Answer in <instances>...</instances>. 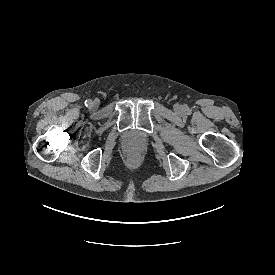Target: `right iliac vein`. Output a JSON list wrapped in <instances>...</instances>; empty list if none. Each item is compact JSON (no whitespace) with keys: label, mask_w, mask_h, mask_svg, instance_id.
<instances>
[{"label":"right iliac vein","mask_w":275,"mask_h":275,"mask_svg":"<svg viewBox=\"0 0 275 275\" xmlns=\"http://www.w3.org/2000/svg\"><path fill=\"white\" fill-rule=\"evenodd\" d=\"M93 106L95 107V106H96V104L94 103V104H93Z\"/></svg>","instance_id":"1"}]
</instances>
